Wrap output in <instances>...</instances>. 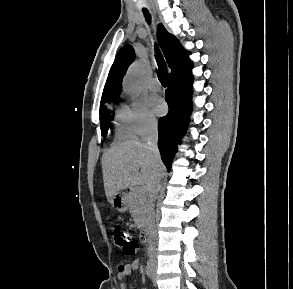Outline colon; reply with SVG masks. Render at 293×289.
Instances as JSON below:
<instances>
[{
	"instance_id": "colon-1",
	"label": "colon",
	"mask_w": 293,
	"mask_h": 289,
	"mask_svg": "<svg viewBox=\"0 0 293 289\" xmlns=\"http://www.w3.org/2000/svg\"><path fill=\"white\" fill-rule=\"evenodd\" d=\"M113 237L116 245L126 255H134L137 252L138 245L136 240L121 228H114Z\"/></svg>"
}]
</instances>
